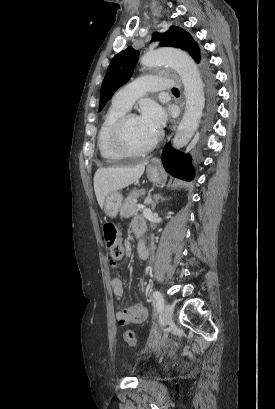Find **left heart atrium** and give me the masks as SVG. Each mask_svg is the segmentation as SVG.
I'll list each match as a JSON object with an SVG mask.
<instances>
[{"label":"left heart atrium","mask_w":275,"mask_h":409,"mask_svg":"<svg viewBox=\"0 0 275 409\" xmlns=\"http://www.w3.org/2000/svg\"><path fill=\"white\" fill-rule=\"evenodd\" d=\"M141 119L146 127L155 135L161 131L166 122L163 110L154 103L146 104L143 107Z\"/></svg>","instance_id":"1"}]
</instances>
